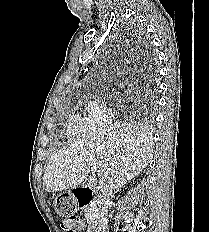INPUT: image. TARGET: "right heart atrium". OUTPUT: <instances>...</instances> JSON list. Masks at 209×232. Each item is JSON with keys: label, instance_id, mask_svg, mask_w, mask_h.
Listing matches in <instances>:
<instances>
[{"label": "right heart atrium", "instance_id": "1", "mask_svg": "<svg viewBox=\"0 0 209 232\" xmlns=\"http://www.w3.org/2000/svg\"><path fill=\"white\" fill-rule=\"evenodd\" d=\"M87 125L91 132H97L106 128L113 120V114L106 101L100 96L93 95L88 99Z\"/></svg>", "mask_w": 209, "mask_h": 232}]
</instances>
